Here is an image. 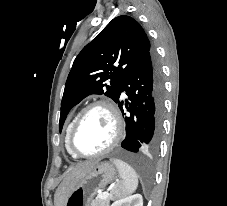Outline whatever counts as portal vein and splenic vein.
Wrapping results in <instances>:
<instances>
[{
  "label": "portal vein and splenic vein",
  "mask_w": 227,
  "mask_h": 206,
  "mask_svg": "<svg viewBox=\"0 0 227 206\" xmlns=\"http://www.w3.org/2000/svg\"><path fill=\"white\" fill-rule=\"evenodd\" d=\"M108 195H109V194H108V192L106 191V192L100 193V194H99V197L102 198V199H104V198L108 197Z\"/></svg>",
  "instance_id": "18ae733b"
}]
</instances>
